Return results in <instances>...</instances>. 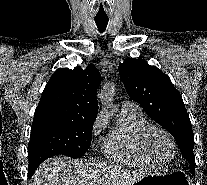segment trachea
Here are the masks:
<instances>
[{"label": "trachea", "instance_id": "trachea-1", "mask_svg": "<svg viewBox=\"0 0 207 185\" xmlns=\"http://www.w3.org/2000/svg\"><path fill=\"white\" fill-rule=\"evenodd\" d=\"M95 22L98 30L104 32L108 24V18H95Z\"/></svg>", "mask_w": 207, "mask_h": 185}]
</instances>
